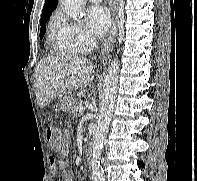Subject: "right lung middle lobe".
<instances>
[{"label":"right lung middle lobe","instance_id":"1","mask_svg":"<svg viewBox=\"0 0 197 181\" xmlns=\"http://www.w3.org/2000/svg\"><path fill=\"white\" fill-rule=\"evenodd\" d=\"M51 14L49 15H44V16H41V22H40V25L42 26L41 29H40V39H42L44 37V34L46 32V26L45 24L47 23V20L49 19Z\"/></svg>","mask_w":197,"mask_h":181}]
</instances>
